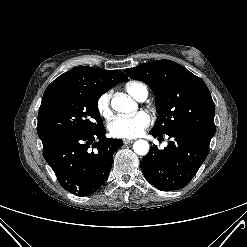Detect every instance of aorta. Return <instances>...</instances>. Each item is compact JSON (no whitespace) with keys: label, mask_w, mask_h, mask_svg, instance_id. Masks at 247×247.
Returning <instances> with one entry per match:
<instances>
[{"label":"aorta","mask_w":247,"mask_h":247,"mask_svg":"<svg viewBox=\"0 0 247 247\" xmlns=\"http://www.w3.org/2000/svg\"><path fill=\"white\" fill-rule=\"evenodd\" d=\"M111 106L121 113H131L136 110V103L128 95H116L111 100ZM133 150L137 155H146L149 151V144L146 140H137L133 144Z\"/></svg>","instance_id":"aorta-1"}]
</instances>
